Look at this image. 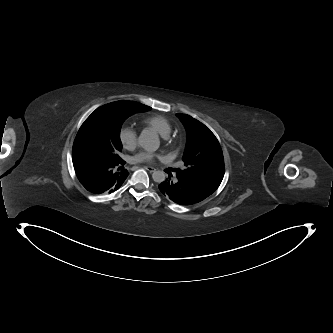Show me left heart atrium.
<instances>
[{
	"label": "left heart atrium",
	"instance_id": "obj_1",
	"mask_svg": "<svg viewBox=\"0 0 333 333\" xmlns=\"http://www.w3.org/2000/svg\"><path fill=\"white\" fill-rule=\"evenodd\" d=\"M159 155L155 152L143 150L134 155L132 160L136 163H142V162H153L155 159H157Z\"/></svg>",
	"mask_w": 333,
	"mask_h": 333
}]
</instances>
